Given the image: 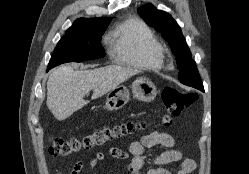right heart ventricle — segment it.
Wrapping results in <instances>:
<instances>
[{
    "instance_id": "1",
    "label": "right heart ventricle",
    "mask_w": 249,
    "mask_h": 174,
    "mask_svg": "<svg viewBox=\"0 0 249 174\" xmlns=\"http://www.w3.org/2000/svg\"><path fill=\"white\" fill-rule=\"evenodd\" d=\"M111 41V54L118 64L144 70L162 67V47L142 20L129 17L116 24Z\"/></svg>"
}]
</instances>
